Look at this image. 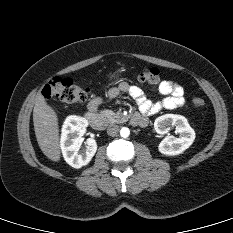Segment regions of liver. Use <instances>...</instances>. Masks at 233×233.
<instances>
[{
  "label": "liver",
  "instance_id": "obj_1",
  "mask_svg": "<svg viewBox=\"0 0 233 233\" xmlns=\"http://www.w3.org/2000/svg\"><path fill=\"white\" fill-rule=\"evenodd\" d=\"M33 123L41 151L50 160L58 162L61 157L58 118L40 93L35 98Z\"/></svg>",
  "mask_w": 233,
  "mask_h": 233
}]
</instances>
